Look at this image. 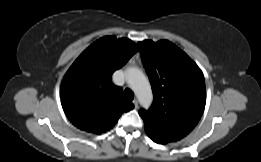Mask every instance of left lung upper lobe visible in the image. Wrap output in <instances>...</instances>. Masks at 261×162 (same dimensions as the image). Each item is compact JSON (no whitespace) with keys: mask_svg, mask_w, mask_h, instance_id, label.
Instances as JSON below:
<instances>
[{"mask_svg":"<svg viewBox=\"0 0 261 162\" xmlns=\"http://www.w3.org/2000/svg\"><path fill=\"white\" fill-rule=\"evenodd\" d=\"M154 101L139 111L145 131L164 143L187 136L199 122L206 103L205 80L196 63L167 40L138 43Z\"/></svg>","mask_w":261,"mask_h":162,"instance_id":"1","label":"left lung upper lobe"}]
</instances>
